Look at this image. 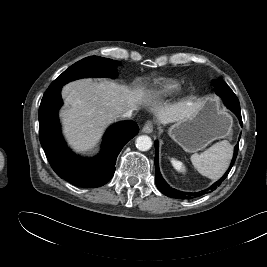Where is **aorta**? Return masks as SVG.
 Listing matches in <instances>:
<instances>
[{"instance_id":"762f6f07","label":"aorta","mask_w":267,"mask_h":267,"mask_svg":"<svg viewBox=\"0 0 267 267\" xmlns=\"http://www.w3.org/2000/svg\"><path fill=\"white\" fill-rule=\"evenodd\" d=\"M136 147L140 151H148L152 147V140L147 135H141L136 139Z\"/></svg>"}]
</instances>
